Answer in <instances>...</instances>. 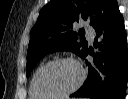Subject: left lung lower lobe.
Instances as JSON below:
<instances>
[{
    "instance_id": "left-lung-lower-lobe-1",
    "label": "left lung lower lobe",
    "mask_w": 128,
    "mask_h": 99,
    "mask_svg": "<svg viewBox=\"0 0 128 99\" xmlns=\"http://www.w3.org/2000/svg\"><path fill=\"white\" fill-rule=\"evenodd\" d=\"M99 21L93 26L97 37L103 36L94 46L99 52L87 50L83 59L91 54L94 58L88 65V76L83 86L71 97H88L92 99H125L128 80L127 35L124 20L116 0H106ZM102 29H106L102 33Z\"/></svg>"
}]
</instances>
